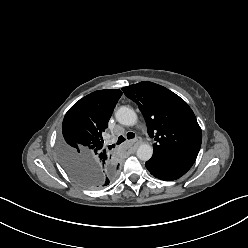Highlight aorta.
Masks as SVG:
<instances>
[{"mask_svg":"<svg viewBox=\"0 0 248 248\" xmlns=\"http://www.w3.org/2000/svg\"><path fill=\"white\" fill-rule=\"evenodd\" d=\"M116 120L126 126H133L137 122L136 112L126 106H121L115 113ZM153 154V148L146 143L141 144L137 149V157L142 161H148Z\"/></svg>","mask_w":248,"mask_h":248,"instance_id":"762f6f07","label":"aorta"}]
</instances>
